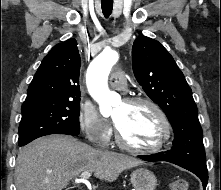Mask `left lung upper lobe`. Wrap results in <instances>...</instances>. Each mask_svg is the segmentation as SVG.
<instances>
[{"label":"left lung upper lobe","instance_id":"obj_1","mask_svg":"<svg viewBox=\"0 0 221 190\" xmlns=\"http://www.w3.org/2000/svg\"><path fill=\"white\" fill-rule=\"evenodd\" d=\"M133 72L146 94L166 113L175 134L171 152L205 161L202 128L192 90L172 58L156 40L139 36L132 47Z\"/></svg>","mask_w":221,"mask_h":190}]
</instances>
